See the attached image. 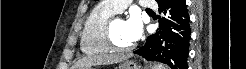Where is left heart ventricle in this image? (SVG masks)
<instances>
[{"mask_svg":"<svg viewBox=\"0 0 246 69\" xmlns=\"http://www.w3.org/2000/svg\"><path fill=\"white\" fill-rule=\"evenodd\" d=\"M113 40L120 46H130L133 42L129 38L126 24L123 20L117 19L112 29Z\"/></svg>","mask_w":246,"mask_h":69,"instance_id":"1","label":"left heart ventricle"}]
</instances>
